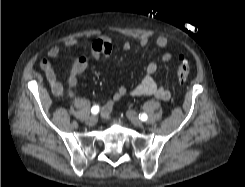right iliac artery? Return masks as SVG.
Wrapping results in <instances>:
<instances>
[{"label": "right iliac artery", "mask_w": 245, "mask_h": 187, "mask_svg": "<svg viewBox=\"0 0 245 187\" xmlns=\"http://www.w3.org/2000/svg\"><path fill=\"white\" fill-rule=\"evenodd\" d=\"M92 114H97L99 112V106L95 105L91 109Z\"/></svg>", "instance_id": "right-iliac-artery-1"}]
</instances>
